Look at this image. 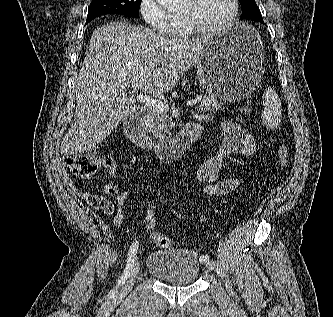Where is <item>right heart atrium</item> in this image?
Instances as JSON below:
<instances>
[{
    "label": "right heart atrium",
    "instance_id": "obj_1",
    "mask_svg": "<svg viewBox=\"0 0 333 317\" xmlns=\"http://www.w3.org/2000/svg\"><path fill=\"white\" fill-rule=\"evenodd\" d=\"M139 11L146 24L152 29L165 34L173 33L175 17L157 0H140Z\"/></svg>",
    "mask_w": 333,
    "mask_h": 317
}]
</instances>
